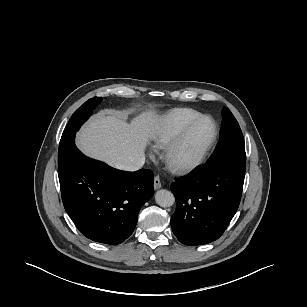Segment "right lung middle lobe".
<instances>
[{
  "instance_id": "obj_1",
  "label": "right lung middle lobe",
  "mask_w": 307,
  "mask_h": 307,
  "mask_svg": "<svg viewBox=\"0 0 307 307\" xmlns=\"http://www.w3.org/2000/svg\"><path fill=\"white\" fill-rule=\"evenodd\" d=\"M101 97H94L86 101L80 108H78L66 128L63 131L58 152V161H61L66 154L75 145L74 137L80 126L89 118L93 108L100 102Z\"/></svg>"
}]
</instances>
